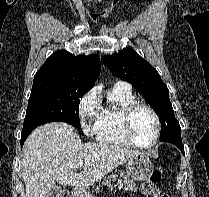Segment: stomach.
Returning <instances> with one entry per match:
<instances>
[{
	"mask_svg": "<svg viewBox=\"0 0 209 197\" xmlns=\"http://www.w3.org/2000/svg\"><path fill=\"white\" fill-rule=\"evenodd\" d=\"M126 171L128 176L133 180L146 181L150 178L154 171V166L150 158L144 154L140 153L134 155L126 163ZM80 197H93L89 193H84Z\"/></svg>",
	"mask_w": 209,
	"mask_h": 197,
	"instance_id": "stomach-1",
	"label": "stomach"
}]
</instances>
